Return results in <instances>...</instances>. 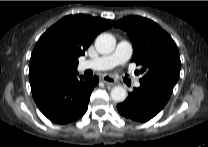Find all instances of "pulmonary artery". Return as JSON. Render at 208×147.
Returning a JSON list of instances; mask_svg holds the SVG:
<instances>
[{"instance_id": "1", "label": "pulmonary artery", "mask_w": 208, "mask_h": 147, "mask_svg": "<svg viewBox=\"0 0 208 147\" xmlns=\"http://www.w3.org/2000/svg\"><path fill=\"white\" fill-rule=\"evenodd\" d=\"M133 52L132 45L125 40L120 41L116 49L108 55H103L94 59L84 60L79 64L80 70H108L117 65L125 64ZM135 87H140L139 80L134 82Z\"/></svg>"}]
</instances>
